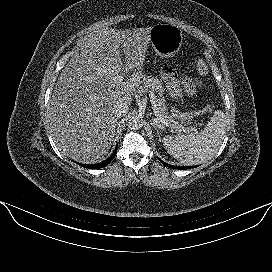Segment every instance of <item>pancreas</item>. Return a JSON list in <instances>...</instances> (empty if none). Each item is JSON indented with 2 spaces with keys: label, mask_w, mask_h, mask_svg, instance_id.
Listing matches in <instances>:
<instances>
[{
  "label": "pancreas",
  "mask_w": 272,
  "mask_h": 272,
  "mask_svg": "<svg viewBox=\"0 0 272 272\" xmlns=\"http://www.w3.org/2000/svg\"><path fill=\"white\" fill-rule=\"evenodd\" d=\"M141 88L144 91H153L157 94L159 112L163 116V118L167 120L169 128L175 132L182 131L184 129V126L176 121V119H190L191 114L181 112H177L174 115L169 114L166 106V100L163 96L165 89L163 88L161 81L152 76H144L141 82Z\"/></svg>",
  "instance_id": "cf45deb5"
}]
</instances>
